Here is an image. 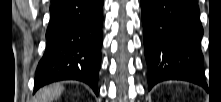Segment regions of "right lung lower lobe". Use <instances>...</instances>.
<instances>
[{
  "mask_svg": "<svg viewBox=\"0 0 221 102\" xmlns=\"http://www.w3.org/2000/svg\"><path fill=\"white\" fill-rule=\"evenodd\" d=\"M103 0H53L46 49L35 76L34 92L61 80L89 84L98 95Z\"/></svg>",
  "mask_w": 221,
  "mask_h": 102,
  "instance_id": "right-lung-lower-lobe-1",
  "label": "right lung lower lobe"
}]
</instances>
